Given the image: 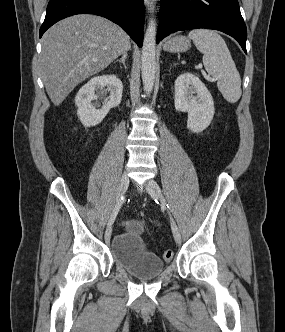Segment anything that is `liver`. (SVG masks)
<instances>
[{
  "label": "liver",
  "instance_id": "obj_1",
  "mask_svg": "<svg viewBox=\"0 0 285 332\" xmlns=\"http://www.w3.org/2000/svg\"><path fill=\"white\" fill-rule=\"evenodd\" d=\"M130 48L121 27L96 15L65 18L42 37L41 68L47 94L55 106L88 77L104 70Z\"/></svg>",
  "mask_w": 285,
  "mask_h": 332
}]
</instances>
